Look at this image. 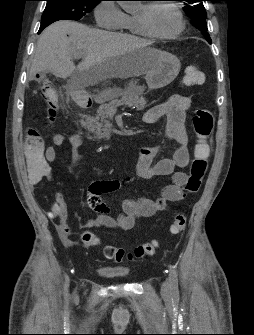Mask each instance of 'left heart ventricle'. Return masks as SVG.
I'll return each mask as SVG.
<instances>
[{"label": "left heart ventricle", "mask_w": 254, "mask_h": 335, "mask_svg": "<svg viewBox=\"0 0 254 335\" xmlns=\"http://www.w3.org/2000/svg\"><path fill=\"white\" fill-rule=\"evenodd\" d=\"M143 7L138 13L142 11ZM150 23L153 28L163 34L174 32L178 26L179 21L175 11L167 5L156 6L150 14Z\"/></svg>", "instance_id": "b2bd125f"}]
</instances>
